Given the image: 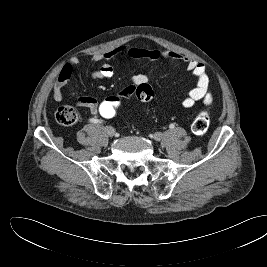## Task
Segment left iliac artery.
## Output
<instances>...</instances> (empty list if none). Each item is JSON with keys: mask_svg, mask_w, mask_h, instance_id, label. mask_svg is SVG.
I'll return each instance as SVG.
<instances>
[{"mask_svg": "<svg viewBox=\"0 0 267 267\" xmlns=\"http://www.w3.org/2000/svg\"><path fill=\"white\" fill-rule=\"evenodd\" d=\"M174 127H175L174 124H170V125H169V128H170V129H173Z\"/></svg>", "mask_w": 267, "mask_h": 267, "instance_id": "1", "label": "left iliac artery"}]
</instances>
